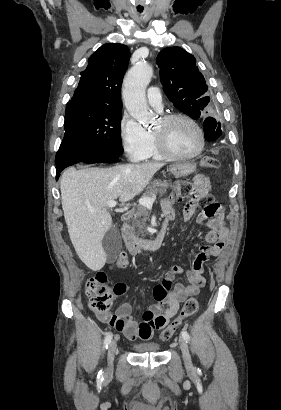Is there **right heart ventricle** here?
Instances as JSON below:
<instances>
[{"mask_svg": "<svg viewBox=\"0 0 281 410\" xmlns=\"http://www.w3.org/2000/svg\"><path fill=\"white\" fill-rule=\"evenodd\" d=\"M165 157L160 153L154 135L150 133V142L141 160H163Z\"/></svg>", "mask_w": 281, "mask_h": 410, "instance_id": "1", "label": "right heart ventricle"}]
</instances>
